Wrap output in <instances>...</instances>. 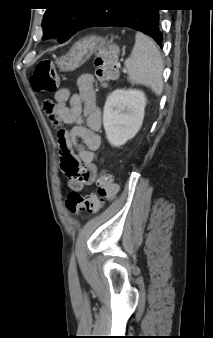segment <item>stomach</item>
<instances>
[{
    "label": "stomach",
    "mask_w": 213,
    "mask_h": 338,
    "mask_svg": "<svg viewBox=\"0 0 213 338\" xmlns=\"http://www.w3.org/2000/svg\"><path fill=\"white\" fill-rule=\"evenodd\" d=\"M106 45L104 39L91 36L73 45L70 51L57 60V66L63 72H71L81 67L99 48Z\"/></svg>",
    "instance_id": "1"
}]
</instances>
